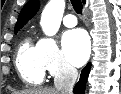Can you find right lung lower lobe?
Wrapping results in <instances>:
<instances>
[{"label": "right lung lower lobe", "mask_w": 121, "mask_h": 94, "mask_svg": "<svg viewBox=\"0 0 121 94\" xmlns=\"http://www.w3.org/2000/svg\"><path fill=\"white\" fill-rule=\"evenodd\" d=\"M90 71V63L81 71L79 82L74 87V94H84L86 80Z\"/></svg>", "instance_id": "right-lung-lower-lobe-1"}]
</instances>
